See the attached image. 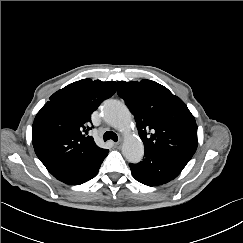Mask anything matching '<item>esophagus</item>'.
<instances>
[{
	"label": "esophagus",
	"instance_id": "34e87169",
	"mask_svg": "<svg viewBox=\"0 0 243 243\" xmlns=\"http://www.w3.org/2000/svg\"><path fill=\"white\" fill-rule=\"evenodd\" d=\"M114 147H115V148H120V147H121V143H120V142H116V143H114Z\"/></svg>",
	"mask_w": 243,
	"mask_h": 243
}]
</instances>
